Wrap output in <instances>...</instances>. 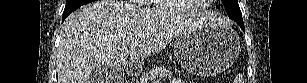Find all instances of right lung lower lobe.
I'll return each mask as SVG.
<instances>
[{
  "instance_id": "right-lung-lower-lobe-1",
  "label": "right lung lower lobe",
  "mask_w": 307,
  "mask_h": 83,
  "mask_svg": "<svg viewBox=\"0 0 307 83\" xmlns=\"http://www.w3.org/2000/svg\"><path fill=\"white\" fill-rule=\"evenodd\" d=\"M83 4H87L85 2H77V3H73L71 5H69L68 7H66L64 9V12H63V18L62 20L64 21L65 18L70 14L72 13L75 9H77L78 7L82 6Z\"/></svg>"
}]
</instances>
